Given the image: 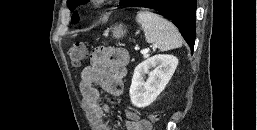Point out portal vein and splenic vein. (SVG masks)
<instances>
[{
  "instance_id": "18ae733b",
  "label": "portal vein and splenic vein",
  "mask_w": 257,
  "mask_h": 130,
  "mask_svg": "<svg viewBox=\"0 0 257 130\" xmlns=\"http://www.w3.org/2000/svg\"><path fill=\"white\" fill-rule=\"evenodd\" d=\"M148 49H143V50H141V53L143 54V55H146L147 53H148Z\"/></svg>"
}]
</instances>
